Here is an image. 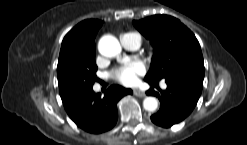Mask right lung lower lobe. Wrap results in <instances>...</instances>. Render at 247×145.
Returning a JSON list of instances; mask_svg holds the SVG:
<instances>
[{
  "label": "right lung lower lobe",
  "mask_w": 247,
  "mask_h": 145,
  "mask_svg": "<svg viewBox=\"0 0 247 145\" xmlns=\"http://www.w3.org/2000/svg\"><path fill=\"white\" fill-rule=\"evenodd\" d=\"M131 89L113 85L102 97L92 88L79 90L62 98L65 110L75 124L89 133H102L110 130L117 122V102Z\"/></svg>",
  "instance_id": "98d812e1"
}]
</instances>
